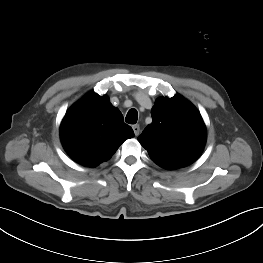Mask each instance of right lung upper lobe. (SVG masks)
Masks as SVG:
<instances>
[{
    "mask_svg": "<svg viewBox=\"0 0 263 263\" xmlns=\"http://www.w3.org/2000/svg\"><path fill=\"white\" fill-rule=\"evenodd\" d=\"M132 128L107 96L89 92L65 114L60 137L67 154L76 162L96 167L109 160L118 147L132 138Z\"/></svg>",
    "mask_w": 263,
    "mask_h": 263,
    "instance_id": "1",
    "label": "right lung upper lobe"
}]
</instances>
